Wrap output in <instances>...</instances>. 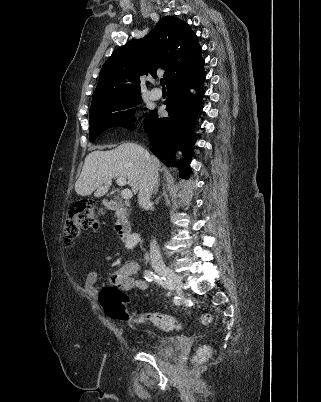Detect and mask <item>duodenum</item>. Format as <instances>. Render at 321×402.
<instances>
[{
  "instance_id": "duodenum-1",
  "label": "duodenum",
  "mask_w": 321,
  "mask_h": 402,
  "mask_svg": "<svg viewBox=\"0 0 321 402\" xmlns=\"http://www.w3.org/2000/svg\"><path fill=\"white\" fill-rule=\"evenodd\" d=\"M106 209L117 213L118 217L115 222V230L122 241L128 240L132 233V226L125 216V206L118 199L104 200Z\"/></svg>"
}]
</instances>
